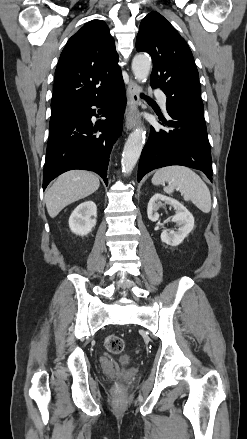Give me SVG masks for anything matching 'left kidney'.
<instances>
[{
	"mask_svg": "<svg viewBox=\"0 0 247 439\" xmlns=\"http://www.w3.org/2000/svg\"><path fill=\"white\" fill-rule=\"evenodd\" d=\"M162 202L171 205L174 208L176 214L173 216L172 222L176 223L178 230H164L161 233V241L171 246H177L181 244L187 235L193 230L194 217L186 207L177 200L160 193H155L149 200L147 207L148 218L152 222L159 220V214L157 211L163 205Z\"/></svg>",
	"mask_w": 247,
	"mask_h": 439,
	"instance_id": "left-kidney-1",
	"label": "left kidney"
}]
</instances>
